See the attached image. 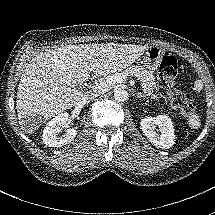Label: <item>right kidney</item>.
<instances>
[{"mask_svg":"<svg viewBox=\"0 0 215 215\" xmlns=\"http://www.w3.org/2000/svg\"><path fill=\"white\" fill-rule=\"evenodd\" d=\"M68 126V114L66 113H61L50 120L43 130L42 140L44 144L50 147H62L73 141L78 130L75 127L68 128ZM65 128H67L66 132L59 135Z\"/></svg>","mask_w":215,"mask_h":215,"instance_id":"1","label":"right kidney"}]
</instances>
